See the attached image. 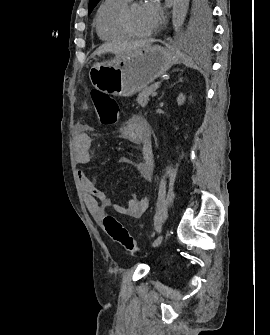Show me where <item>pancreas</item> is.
Instances as JSON below:
<instances>
[{
    "mask_svg": "<svg viewBox=\"0 0 270 335\" xmlns=\"http://www.w3.org/2000/svg\"><path fill=\"white\" fill-rule=\"evenodd\" d=\"M156 88L157 86H151V88H144V90H141L136 100L137 104H139V106H142V108H146L149 102V96L150 94L155 92Z\"/></svg>",
    "mask_w": 270,
    "mask_h": 335,
    "instance_id": "pancreas-1",
    "label": "pancreas"
}]
</instances>
